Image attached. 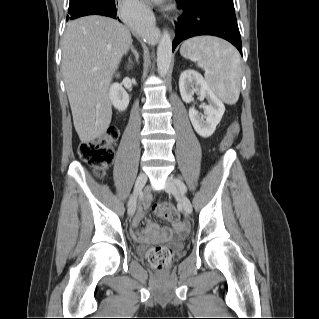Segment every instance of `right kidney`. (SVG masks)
I'll list each match as a JSON object with an SVG mask.
<instances>
[{
	"mask_svg": "<svg viewBox=\"0 0 319 319\" xmlns=\"http://www.w3.org/2000/svg\"><path fill=\"white\" fill-rule=\"evenodd\" d=\"M109 98L113 106L119 111H125L129 104V95L122 85L115 83L110 87Z\"/></svg>",
	"mask_w": 319,
	"mask_h": 319,
	"instance_id": "obj_1",
	"label": "right kidney"
}]
</instances>
